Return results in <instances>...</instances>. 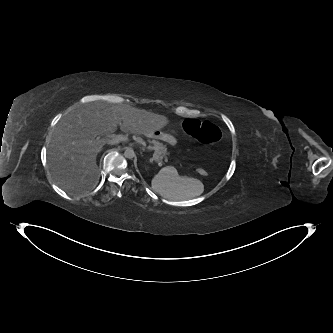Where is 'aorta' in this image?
Returning a JSON list of instances; mask_svg holds the SVG:
<instances>
[{"instance_id":"762f6f07","label":"aorta","mask_w":333,"mask_h":333,"mask_svg":"<svg viewBox=\"0 0 333 333\" xmlns=\"http://www.w3.org/2000/svg\"><path fill=\"white\" fill-rule=\"evenodd\" d=\"M124 156L128 159L134 158L136 156L134 149L130 148V147H127L125 152H124Z\"/></svg>"}]
</instances>
